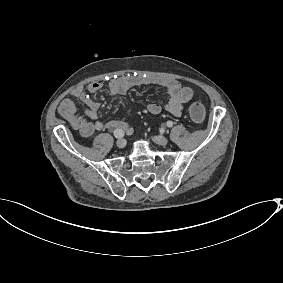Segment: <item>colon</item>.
I'll return each instance as SVG.
<instances>
[{
	"label": "colon",
	"instance_id": "1",
	"mask_svg": "<svg viewBox=\"0 0 283 283\" xmlns=\"http://www.w3.org/2000/svg\"><path fill=\"white\" fill-rule=\"evenodd\" d=\"M189 114L193 121L201 122L205 118V107L199 102H194L189 108Z\"/></svg>",
	"mask_w": 283,
	"mask_h": 283
}]
</instances>
